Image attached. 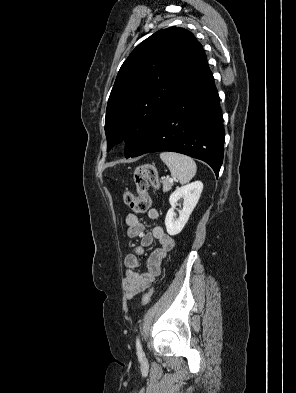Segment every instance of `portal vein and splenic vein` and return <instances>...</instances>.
<instances>
[{"instance_id": "portal-vein-and-splenic-vein-1", "label": "portal vein and splenic vein", "mask_w": 296, "mask_h": 393, "mask_svg": "<svg viewBox=\"0 0 296 393\" xmlns=\"http://www.w3.org/2000/svg\"><path fill=\"white\" fill-rule=\"evenodd\" d=\"M169 182H173V178H169Z\"/></svg>"}]
</instances>
